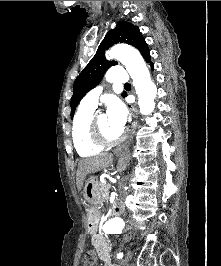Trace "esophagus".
I'll list each match as a JSON object with an SVG mask.
<instances>
[{
    "label": "esophagus",
    "instance_id": "esophagus-1",
    "mask_svg": "<svg viewBox=\"0 0 221 266\" xmlns=\"http://www.w3.org/2000/svg\"><path fill=\"white\" fill-rule=\"evenodd\" d=\"M136 113H137V103L135 102L134 105L132 106V110H131V116L133 118V121L131 124V129H130L129 135L127 137V140H126L124 146H128L133 139V135H134L135 128H136V121H135Z\"/></svg>",
    "mask_w": 221,
    "mask_h": 266
}]
</instances>
